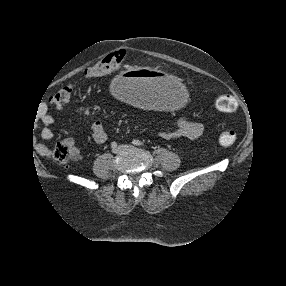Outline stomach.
<instances>
[{
  "mask_svg": "<svg viewBox=\"0 0 286 286\" xmlns=\"http://www.w3.org/2000/svg\"><path fill=\"white\" fill-rule=\"evenodd\" d=\"M109 95L119 102L128 101L152 115L173 116L189 105L192 88L181 72L144 64L123 72L109 84Z\"/></svg>",
  "mask_w": 286,
  "mask_h": 286,
  "instance_id": "1",
  "label": "stomach"
}]
</instances>
